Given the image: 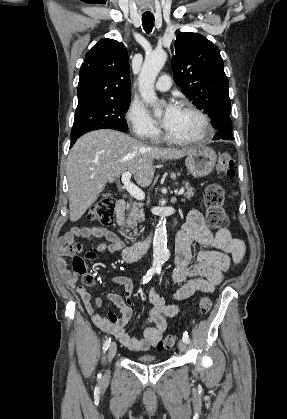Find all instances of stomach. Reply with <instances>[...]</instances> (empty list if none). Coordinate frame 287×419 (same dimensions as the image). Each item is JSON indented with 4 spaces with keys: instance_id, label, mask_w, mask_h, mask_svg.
<instances>
[{
    "instance_id": "stomach-1",
    "label": "stomach",
    "mask_w": 287,
    "mask_h": 419,
    "mask_svg": "<svg viewBox=\"0 0 287 419\" xmlns=\"http://www.w3.org/2000/svg\"><path fill=\"white\" fill-rule=\"evenodd\" d=\"M217 161L216 152L206 146L194 148L187 154L185 164L188 171L196 178L205 177L209 175Z\"/></svg>"
}]
</instances>
